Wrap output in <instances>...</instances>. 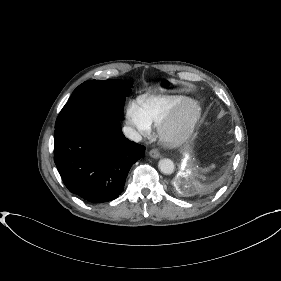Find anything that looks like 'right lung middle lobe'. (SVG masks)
Segmentation results:
<instances>
[{
	"mask_svg": "<svg viewBox=\"0 0 281 281\" xmlns=\"http://www.w3.org/2000/svg\"><path fill=\"white\" fill-rule=\"evenodd\" d=\"M132 85L123 80H89L78 86L62 108L55 129L77 120L123 118Z\"/></svg>",
	"mask_w": 281,
	"mask_h": 281,
	"instance_id": "dd1d6c3e",
	"label": "right lung middle lobe"
}]
</instances>
